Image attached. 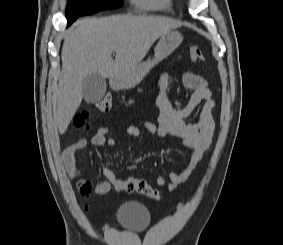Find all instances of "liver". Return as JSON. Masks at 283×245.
Returning <instances> with one entry per match:
<instances>
[{
    "label": "liver",
    "mask_w": 283,
    "mask_h": 245,
    "mask_svg": "<svg viewBox=\"0 0 283 245\" xmlns=\"http://www.w3.org/2000/svg\"><path fill=\"white\" fill-rule=\"evenodd\" d=\"M178 27L175 21L147 16L79 20L77 27L67 32L62 47L54 114L60 134L65 133L82 102L85 77L98 73L112 79L134 68L159 37Z\"/></svg>",
    "instance_id": "liver-1"
}]
</instances>
